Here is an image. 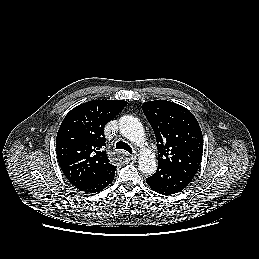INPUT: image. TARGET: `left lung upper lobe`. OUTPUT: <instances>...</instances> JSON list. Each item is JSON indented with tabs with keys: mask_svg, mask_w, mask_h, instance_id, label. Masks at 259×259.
<instances>
[{
	"mask_svg": "<svg viewBox=\"0 0 259 259\" xmlns=\"http://www.w3.org/2000/svg\"><path fill=\"white\" fill-rule=\"evenodd\" d=\"M142 110L156 136L158 166L180 174L190 183L203 153V136L195 116L166 100L145 102Z\"/></svg>",
	"mask_w": 259,
	"mask_h": 259,
	"instance_id": "left-lung-upper-lobe-1",
	"label": "left lung upper lobe"
}]
</instances>
